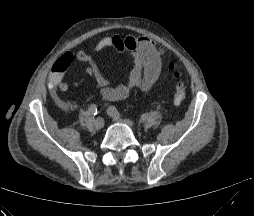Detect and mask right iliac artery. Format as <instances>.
Instances as JSON below:
<instances>
[{
	"label": "right iliac artery",
	"instance_id": "right-iliac-artery-1",
	"mask_svg": "<svg viewBox=\"0 0 254 216\" xmlns=\"http://www.w3.org/2000/svg\"><path fill=\"white\" fill-rule=\"evenodd\" d=\"M88 111H89V114L95 116L98 113L97 106L95 104L90 105L88 108Z\"/></svg>",
	"mask_w": 254,
	"mask_h": 216
}]
</instances>
